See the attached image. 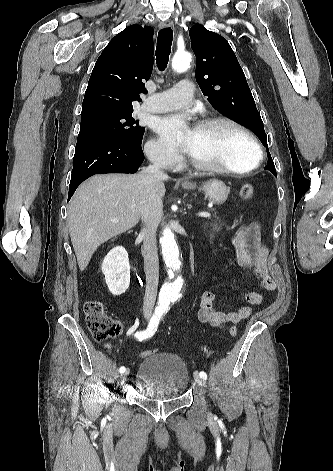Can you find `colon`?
<instances>
[{"label":"colon","instance_id":"obj_1","mask_svg":"<svg viewBox=\"0 0 333 471\" xmlns=\"http://www.w3.org/2000/svg\"><path fill=\"white\" fill-rule=\"evenodd\" d=\"M255 188L252 184H243L240 188L239 195L243 200H249L253 197ZM86 316V324L96 341H104L108 338L119 335L122 331V324L111 318L106 312L101 302L97 300H90L84 306ZM237 328L232 326L229 330V335L235 337ZM156 353L155 350H145L140 355L147 357Z\"/></svg>","mask_w":333,"mask_h":471}]
</instances>
